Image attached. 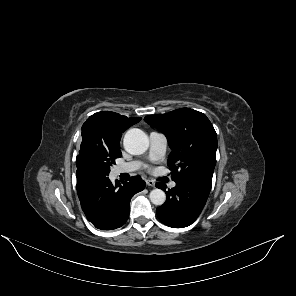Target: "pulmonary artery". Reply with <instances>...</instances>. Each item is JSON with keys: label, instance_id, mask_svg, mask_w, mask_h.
I'll return each instance as SVG.
<instances>
[{"label": "pulmonary artery", "instance_id": "pulmonary-artery-1", "mask_svg": "<svg viewBox=\"0 0 296 296\" xmlns=\"http://www.w3.org/2000/svg\"><path fill=\"white\" fill-rule=\"evenodd\" d=\"M150 139V149L149 156L152 161L160 160L166 152L167 139L165 135L161 132L152 131L149 134ZM143 163L139 160H133L129 162L122 163L116 167V173H130L140 169ZM171 187H175L176 183L172 181L170 183Z\"/></svg>", "mask_w": 296, "mask_h": 296}]
</instances>
